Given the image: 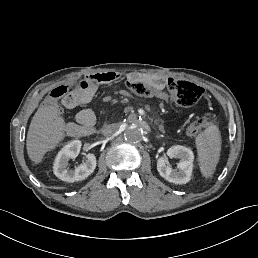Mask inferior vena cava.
I'll return each instance as SVG.
<instances>
[{
	"mask_svg": "<svg viewBox=\"0 0 258 258\" xmlns=\"http://www.w3.org/2000/svg\"><path fill=\"white\" fill-rule=\"evenodd\" d=\"M116 131L115 127L113 125H107L102 129V134L104 136H110Z\"/></svg>",
	"mask_w": 258,
	"mask_h": 258,
	"instance_id": "1",
	"label": "inferior vena cava"
}]
</instances>
